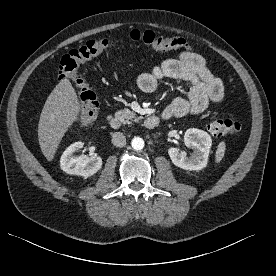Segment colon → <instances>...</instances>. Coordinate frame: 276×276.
Returning <instances> with one entry per match:
<instances>
[{"instance_id":"5ec220e1","label":"colon","mask_w":276,"mask_h":276,"mask_svg":"<svg viewBox=\"0 0 276 276\" xmlns=\"http://www.w3.org/2000/svg\"><path fill=\"white\" fill-rule=\"evenodd\" d=\"M128 39L137 44H143L157 51L189 50L188 42L177 36H162L151 30L133 29ZM117 42L99 37L87 41L79 48L70 50L65 54L59 65V75L62 79H68L76 92L78 101L77 120L80 124H90L98 112V101L95 93L87 82L79 75L78 69L86 61L96 58L115 48ZM207 130L215 137L237 135L241 125L235 120L214 119L207 123Z\"/></svg>"}]
</instances>
